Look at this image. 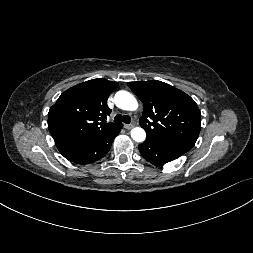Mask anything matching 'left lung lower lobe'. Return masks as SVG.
<instances>
[{"instance_id":"0a47b994","label":"left lung lower lobe","mask_w":253,"mask_h":253,"mask_svg":"<svg viewBox=\"0 0 253 253\" xmlns=\"http://www.w3.org/2000/svg\"><path fill=\"white\" fill-rule=\"evenodd\" d=\"M139 151L144 159L155 166H162L188 152L185 148L151 139L140 144Z\"/></svg>"}]
</instances>
